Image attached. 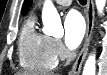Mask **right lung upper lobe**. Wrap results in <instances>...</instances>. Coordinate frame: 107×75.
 I'll list each match as a JSON object with an SVG mask.
<instances>
[{
	"instance_id": "1",
	"label": "right lung upper lobe",
	"mask_w": 107,
	"mask_h": 75,
	"mask_svg": "<svg viewBox=\"0 0 107 75\" xmlns=\"http://www.w3.org/2000/svg\"><path fill=\"white\" fill-rule=\"evenodd\" d=\"M31 4H32V0H25L24 1V5L22 7V14L23 15H25L28 12Z\"/></svg>"
}]
</instances>
